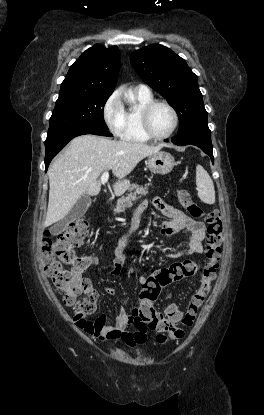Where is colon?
Here are the masks:
<instances>
[{"label": "colon", "mask_w": 264, "mask_h": 415, "mask_svg": "<svg viewBox=\"0 0 264 415\" xmlns=\"http://www.w3.org/2000/svg\"><path fill=\"white\" fill-rule=\"evenodd\" d=\"M177 197L191 217L204 219L207 232L205 265L200 286L192 295L184 312L173 303L160 312L154 303L163 287L191 277L196 272L195 261L174 263L157 271L144 284L140 293V305L133 322L139 333L157 332L159 341H164L167 337L179 340L184 336L183 327L189 328L194 324L199 308L204 303L216 277L222 254L223 226L219 211H204L183 188L177 190ZM89 233V222L85 219H77L64 231L57 233L54 240L52 233L47 231L43 236L41 248L44 270L52 280L54 291L63 294V302L73 310V319L76 323L91 330L94 322L87 316L95 309L98 292L83 272L91 264L92 258L76 253L84 245ZM135 340L141 341L142 336L136 335Z\"/></svg>", "instance_id": "5ec220e1"}]
</instances>
